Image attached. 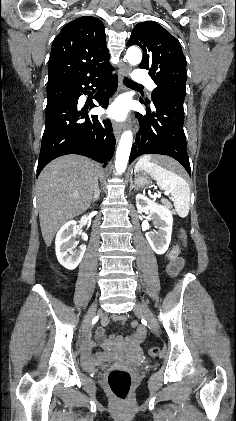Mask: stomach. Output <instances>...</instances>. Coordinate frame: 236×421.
I'll return each mask as SVG.
<instances>
[{"label": "stomach", "instance_id": "0dacf381", "mask_svg": "<svg viewBox=\"0 0 236 421\" xmlns=\"http://www.w3.org/2000/svg\"><path fill=\"white\" fill-rule=\"evenodd\" d=\"M134 182L135 188H144V186L150 184L151 180L145 172H138V174H135Z\"/></svg>", "mask_w": 236, "mask_h": 421}]
</instances>
